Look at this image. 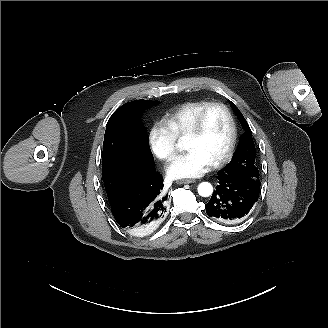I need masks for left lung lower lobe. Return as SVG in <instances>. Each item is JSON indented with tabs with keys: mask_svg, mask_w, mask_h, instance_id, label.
<instances>
[{
	"mask_svg": "<svg viewBox=\"0 0 328 328\" xmlns=\"http://www.w3.org/2000/svg\"><path fill=\"white\" fill-rule=\"evenodd\" d=\"M219 184L210 201L205 204L206 213L213 219L232 223L246 217L259 196V178L242 174L218 172Z\"/></svg>",
	"mask_w": 328,
	"mask_h": 328,
	"instance_id": "left-lung-lower-lobe-1",
	"label": "left lung lower lobe"
}]
</instances>
